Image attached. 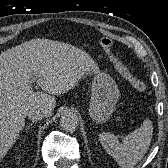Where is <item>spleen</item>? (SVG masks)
<instances>
[{
    "label": "spleen",
    "mask_w": 168,
    "mask_h": 168,
    "mask_svg": "<svg viewBox=\"0 0 168 168\" xmlns=\"http://www.w3.org/2000/svg\"><path fill=\"white\" fill-rule=\"evenodd\" d=\"M152 135V122L147 119L141 127L126 135L122 143H119L117 137L109 132L101 133L99 141L120 167L133 168L147 152Z\"/></svg>",
    "instance_id": "spleen-1"
}]
</instances>
